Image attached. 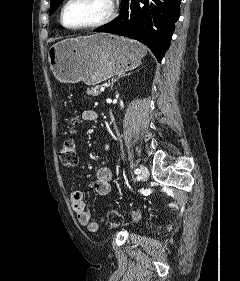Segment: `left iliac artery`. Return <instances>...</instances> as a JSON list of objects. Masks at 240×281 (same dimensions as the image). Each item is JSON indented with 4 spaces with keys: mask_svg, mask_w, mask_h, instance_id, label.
<instances>
[{
    "mask_svg": "<svg viewBox=\"0 0 240 281\" xmlns=\"http://www.w3.org/2000/svg\"><path fill=\"white\" fill-rule=\"evenodd\" d=\"M135 174H140L141 173V171H140V169H135Z\"/></svg>",
    "mask_w": 240,
    "mask_h": 281,
    "instance_id": "44dca946",
    "label": "left iliac artery"
}]
</instances>
